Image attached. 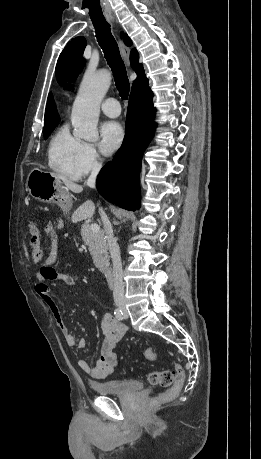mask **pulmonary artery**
<instances>
[{
	"instance_id": "obj_1",
	"label": "pulmonary artery",
	"mask_w": 261,
	"mask_h": 459,
	"mask_svg": "<svg viewBox=\"0 0 261 459\" xmlns=\"http://www.w3.org/2000/svg\"><path fill=\"white\" fill-rule=\"evenodd\" d=\"M101 110L103 113L111 118L118 117L121 113L120 104L115 98H107L101 104Z\"/></svg>"
}]
</instances>
